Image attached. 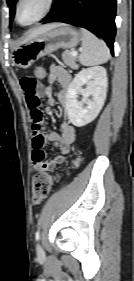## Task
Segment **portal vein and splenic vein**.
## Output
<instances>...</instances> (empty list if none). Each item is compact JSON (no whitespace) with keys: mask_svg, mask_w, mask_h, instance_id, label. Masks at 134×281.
Returning a JSON list of instances; mask_svg holds the SVG:
<instances>
[{"mask_svg":"<svg viewBox=\"0 0 134 281\" xmlns=\"http://www.w3.org/2000/svg\"><path fill=\"white\" fill-rule=\"evenodd\" d=\"M77 51H75V50H73V51H71V55H73V56H77Z\"/></svg>","mask_w":134,"mask_h":281,"instance_id":"1","label":"portal vein and splenic vein"}]
</instances>
